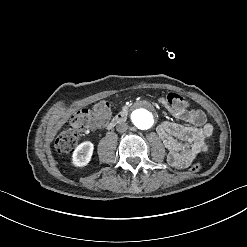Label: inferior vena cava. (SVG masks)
I'll return each mask as SVG.
<instances>
[{
    "instance_id": "inferior-vena-cava-1",
    "label": "inferior vena cava",
    "mask_w": 247,
    "mask_h": 247,
    "mask_svg": "<svg viewBox=\"0 0 247 247\" xmlns=\"http://www.w3.org/2000/svg\"><path fill=\"white\" fill-rule=\"evenodd\" d=\"M116 130L118 132H125L128 130V124L124 122H120L116 125Z\"/></svg>"
}]
</instances>
